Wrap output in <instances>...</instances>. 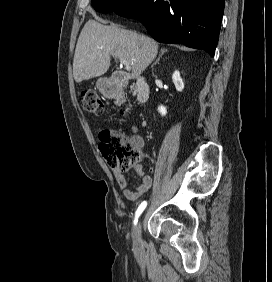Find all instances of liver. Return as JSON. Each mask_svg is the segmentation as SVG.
Masks as SVG:
<instances>
[{
	"label": "liver",
	"mask_w": 272,
	"mask_h": 282,
	"mask_svg": "<svg viewBox=\"0 0 272 282\" xmlns=\"http://www.w3.org/2000/svg\"><path fill=\"white\" fill-rule=\"evenodd\" d=\"M158 44L145 35L89 20L76 45L73 76L77 83L99 77L110 67V56L131 64V78H138L155 59Z\"/></svg>",
	"instance_id": "6515ba94"
}]
</instances>
